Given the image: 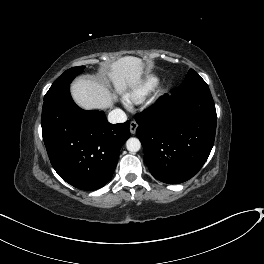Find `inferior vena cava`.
Segmentation results:
<instances>
[{
    "label": "inferior vena cava",
    "mask_w": 264,
    "mask_h": 264,
    "mask_svg": "<svg viewBox=\"0 0 264 264\" xmlns=\"http://www.w3.org/2000/svg\"><path fill=\"white\" fill-rule=\"evenodd\" d=\"M127 120V116L121 109H114L108 114V121L112 124L123 123Z\"/></svg>",
    "instance_id": "obj_1"
}]
</instances>
